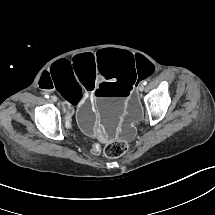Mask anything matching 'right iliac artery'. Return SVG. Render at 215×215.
<instances>
[{"label": "right iliac artery", "mask_w": 215, "mask_h": 215, "mask_svg": "<svg viewBox=\"0 0 215 215\" xmlns=\"http://www.w3.org/2000/svg\"><path fill=\"white\" fill-rule=\"evenodd\" d=\"M45 98H49V95H48V94H45Z\"/></svg>", "instance_id": "1"}]
</instances>
